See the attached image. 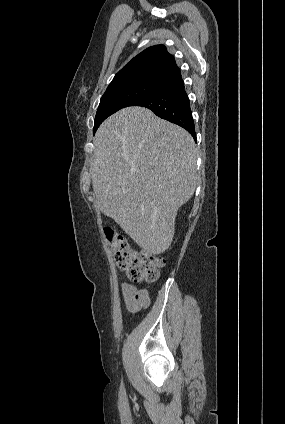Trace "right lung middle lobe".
Segmentation results:
<instances>
[{"label": "right lung middle lobe", "instance_id": "dd1d6c3e", "mask_svg": "<svg viewBox=\"0 0 285 424\" xmlns=\"http://www.w3.org/2000/svg\"><path fill=\"white\" fill-rule=\"evenodd\" d=\"M163 85L159 82H137L107 89L101 97L97 109L93 132L95 133L107 117L128 107L133 101L155 92Z\"/></svg>", "mask_w": 285, "mask_h": 424}]
</instances>
